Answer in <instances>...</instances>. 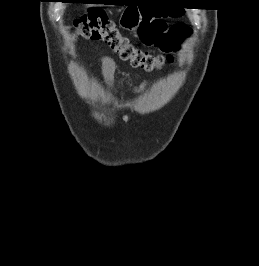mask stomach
<instances>
[{"label":"stomach","mask_w":259,"mask_h":266,"mask_svg":"<svg viewBox=\"0 0 259 266\" xmlns=\"http://www.w3.org/2000/svg\"><path fill=\"white\" fill-rule=\"evenodd\" d=\"M139 24V20H136L135 15L130 9H126L121 18V26L126 29L135 30Z\"/></svg>","instance_id":"stomach-1"}]
</instances>
